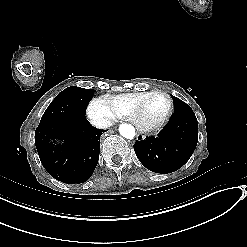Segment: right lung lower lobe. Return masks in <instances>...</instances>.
I'll return each mask as SVG.
<instances>
[{
    "label": "right lung lower lobe",
    "instance_id": "1",
    "mask_svg": "<svg viewBox=\"0 0 247 247\" xmlns=\"http://www.w3.org/2000/svg\"><path fill=\"white\" fill-rule=\"evenodd\" d=\"M104 130L93 127L86 117L59 118L39 124L35 145L46 171L63 183H83L93 174ZM60 140L61 143H56Z\"/></svg>",
    "mask_w": 247,
    "mask_h": 247
}]
</instances>
